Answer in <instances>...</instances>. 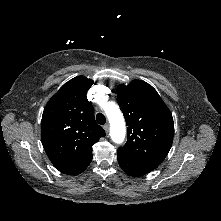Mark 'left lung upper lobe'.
<instances>
[{"instance_id": "obj_1", "label": "left lung upper lobe", "mask_w": 221, "mask_h": 221, "mask_svg": "<svg viewBox=\"0 0 221 221\" xmlns=\"http://www.w3.org/2000/svg\"><path fill=\"white\" fill-rule=\"evenodd\" d=\"M117 102L128 125V139L118 150L157 168L167 156L174 135L171 112L156 90L142 80L117 88Z\"/></svg>"}]
</instances>
